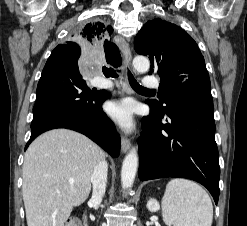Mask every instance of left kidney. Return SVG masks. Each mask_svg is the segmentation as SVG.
I'll use <instances>...</instances> for the list:
<instances>
[{"instance_id": "5707ae66", "label": "left kidney", "mask_w": 247, "mask_h": 226, "mask_svg": "<svg viewBox=\"0 0 247 226\" xmlns=\"http://www.w3.org/2000/svg\"><path fill=\"white\" fill-rule=\"evenodd\" d=\"M147 209L150 212H157L160 209L159 202L156 199H149L147 202Z\"/></svg>"}]
</instances>
